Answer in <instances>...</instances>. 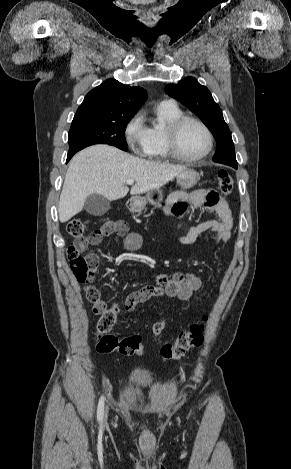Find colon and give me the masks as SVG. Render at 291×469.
I'll list each match as a JSON object with an SVG mask.
<instances>
[{"label": "colon", "instance_id": "1", "mask_svg": "<svg viewBox=\"0 0 291 469\" xmlns=\"http://www.w3.org/2000/svg\"><path fill=\"white\" fill-rule=\"evenodd\" d=\"M217 180L221 194L224 196L231 194L233 179L226 169H220L217 172ZM85 229L86 223L81 218H74L68 223L67 232L76 238V242L68 248L67 257L76 279L80 283L89 284L94 277L96 267L82 251L88 244L99 241L102 238V231L99 229L85 235ZM85 292L90 302L98 300L97 290L93 286L88 285ZM120 310L121 307L115 305L113 309L104 308L98 311L100 318L97 323L96 350L99 353L118 351L124 355L141 356L144 354V349L139 335L119 339L117 336L109 333L116 321L117 312ZM165 326V319H160L154 323L152 332L157 340L160 339ZM204 332V324H193L189 329L181 331L174 343L161 344L159 349L160 355L166 360L180 359L191 348H198L202 345Z\"/></svg>", "mask_w": 291, "mask_h": 469}]
</instances>
